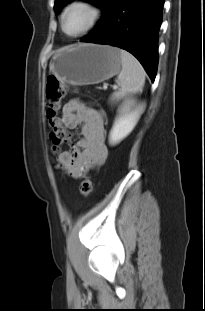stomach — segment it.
Segmentation results:
<instances>
[{
  "instance_id": "obj_1",
  "label": "stomach",
  "mask_w": 205,
  "mask_h": 311,
  "mask_svg": "<svg viewBox=\"0 0 205 311\" xmlns=\"http://www.w3.org/2000/svg\"><path fill=\"white\" fill-rule=\"evenodd\" d=\"M120 49L109 45L79 44L57 51L49 71L60 81L81 86L101 83L118 74Z\"/></svg>"
}]
</instances>
